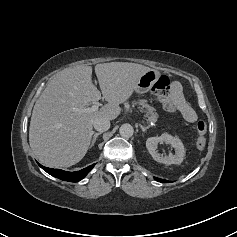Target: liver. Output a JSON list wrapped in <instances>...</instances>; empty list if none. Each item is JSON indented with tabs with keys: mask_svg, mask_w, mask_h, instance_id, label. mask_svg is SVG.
<instances>
[{
	"mask_svg": "<svg viewBox=\"0 0 237 237\" xmlns=\"http://www.w3.org/2000/svg\"><path fill=\"white\" fill-rule=\"evenodd\" d=\"M150 68L128 62L97 64L95 73L101 92L92 83V67L79 65L56 74L36 101L29 127V143L39 161L49 167H70L87 153L93 121L113 120L121 112L139 80ZM103 98L108 102L98 111L78 113Z\"/></svg>",
	"mask_w": 237,
	"mask_h": 237,
	"instance_id": "6515ba94",
	"label": "liver"
}]
</instances>
